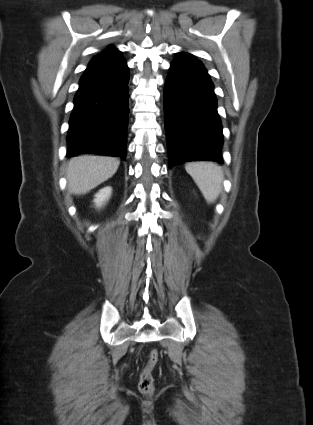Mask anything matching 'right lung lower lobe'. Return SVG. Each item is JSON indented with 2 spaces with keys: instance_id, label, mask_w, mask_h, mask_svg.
Returning <instances> with one entry per match:
<instances>
[{
  "instance_id": "obj_1",
  "label": "right lung lower lobe",
  "mask_w": 313,
  "mask_h": 425,
  "mask_svg": "<svg viewBox=\"0 0 313 425\" xmlns=\"http://www.w3.org/2000/svg\"><path fill=\"white\" fill-rule=\"evenodd\" d=\"M129 70L121 56L94 57L80 79L67 135V157H126Z\"/></svg>"
}]
</instances>
